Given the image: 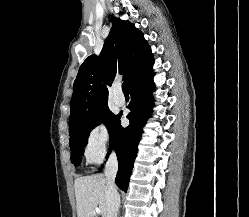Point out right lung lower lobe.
<instances>
[{
  "label": "right lung lower lobe",
  "instance_id": "obj_1",
  "mask_svg": "<svg viewBox=\"0 0 249 217\" xmlns=\"http://www.w3.org/2000/svg\"><path fill=\"white\" fill-rule=\"evenodd\" d=\"M153 57L139 74L129 84L131 102L127 106L130 113L127 118L130 125L126 128L121 126V114L117 115V119L109 131L110 149L116 151L119 163V169L116 176L117 186L127 191L129 179L132 173L134 160L137 154V146L141 138L142 127L146 123V119L150 117L153 107V99L151 93L155 89L153 82L154 72L152 69ZM107 155V158H108Z\"/></svg>",
  "mask_w": 249,
  "mask_h": 217
}]
</instances>
